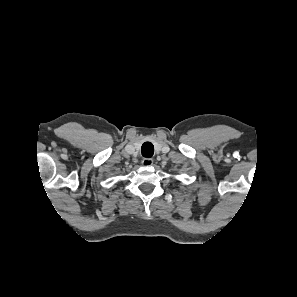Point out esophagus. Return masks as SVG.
I'll return each mask as SVG.
<instances>
[{"label": "esophagus", "instance_id": "obj_1", "mask_svg": "<svg viewBox=\"0 0 297 297\" xmlns=\"http://www.w3.org/2000/svg\"><path fill=\"white\" fill-rule=\"evenodd\" d=\"M153 159H151V158H144L143 160H142V165L143 166H152L153 165Z\"/></svg>", "mask_w": 297, "mask_h": 297}]
</instances>
